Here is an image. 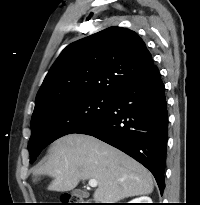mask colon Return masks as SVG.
I'll return each instance as SVG.
<instances>
[{
	"mask_svg": "<svg viewBox=\"0 0 200 205\" xmlns=\"http://www.w3.org/2000/svg\"><path fill=\"white\" fill-rule=\"evenodd\" d=\"M61 205H86L80 197L66 195L61 198Z\"/></svg>",
	"mask_w": 200,
	"mask_h": 205,
	"instance_id": "1",
	"label": "colon"
}]
</instances>
